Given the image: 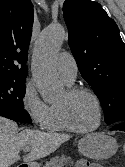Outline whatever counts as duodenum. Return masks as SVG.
<instances>
[{
	"label": "duodenum",
	"instance_id": "duodenum-1",
	"mask_svg": "<svg viewBox=\"0 0 125 167\" xmlns=\"http://www.w3.org/2000/svg\"><path fill=\"white\" fill-rule=\"evenodd\" d=\"M18 167H28L26 164L19 165Z\"/></svg>",
	"mask_w": 125,
	"mask_h": 167
}]
</instances>
